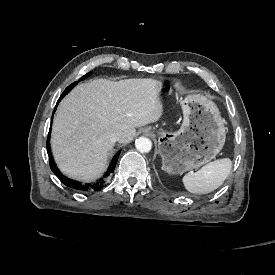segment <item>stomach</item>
<instances>
[{"instance_id":"obj_1","label":"stomach","mask_w":275,"mask_h":275,"mask_svg":"<svg viewBox=\"0 0 275 275\" xmlns=\"http://www.w3.org/2000/svg\"><path fill=\"white\" fill-rule=\"evenodd\" d=\"M159 93L172 94L170 84L160 82ZM183 123L175 132H158V150L162 168L169 174H181L199 168L222 150L226 131L217 105L202 94L187 95L181 102Z\"/></svg>"}]
</instances>
